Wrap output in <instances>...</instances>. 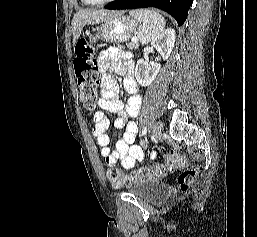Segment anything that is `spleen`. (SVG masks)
Here are the masks:
<instances>
[{"label": "spleen", "instance_id": "spleen-1", "mask_svg": "<svg viewBox=\"0 0 257 237\" xmlns=\"http://www.w3.org/2000/svg\"><path fill=\"white\" fill-rule=\"evenodd\" d=\"M129 14L141 23L137 34L142 44L153 41L164 30L165 19L153 10H132Z\"/></svg>", "mask_w": 257, "mask_h": 237}]
</instances>
